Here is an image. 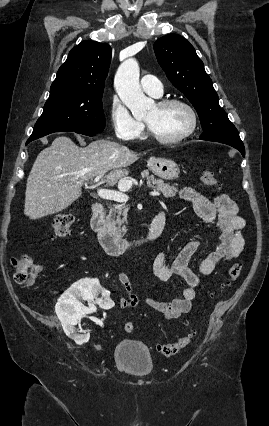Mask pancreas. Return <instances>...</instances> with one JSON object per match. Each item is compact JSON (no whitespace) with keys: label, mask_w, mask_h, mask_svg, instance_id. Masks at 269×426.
Masks as SVG:
<instances>
[{"label":"pancreas","mask_w":269,"mask_h":426,"mask_svg":"<svg viewBox=\"0 0 269 426\" xmlns=\"http://www.w3.org/2000/svg\"><path fill=\"white\" fill-rule=\"evenodd\" d=\"M143 176L147 179V186L153 190L163 193L165 198L174 197L178 191L175 185L165 183L161 179H155L153 175L144 172ZM129 208L125 204L110 206L109 214L106 217L107 223L117 226L119 230L126 231L125 227L121 228L124 222H127V212Z\"/></svg>","instance_id":"obj_1"}]
</instances>
